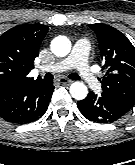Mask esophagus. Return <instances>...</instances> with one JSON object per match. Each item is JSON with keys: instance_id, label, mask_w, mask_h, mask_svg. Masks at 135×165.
I'll list each match as a JSON object with an SVG mask.
<instances>
[{"instance_id": "esophagus-1", "label": "esophagus", "mask_w": 135, "mask_h": 165, "mask_svg": "<svg viewBox=\"0 0 135 165\" xmlns=\"http://www.w3.org/2000/svg\"><path fill=\"white\" fill-rule=\"evenodd\" d=\"M59 83L64 84V85H69L71 84L73 81L64 77H61L58 79Z\"/></svg>"}]
</instances>
